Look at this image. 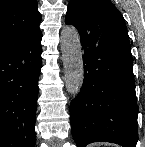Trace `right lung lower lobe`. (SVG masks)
I'll return each instance as SVG.
<instances>
[{
    "label": "right lung lower lobe",
    "mask_w": 145,
    "mask_h": 147,
    "mask_svg": "<svg viewBox=\"0 0 145 147\" xmlns=\"http://www.w3.org/2000/svg\"><path fill=\"white\" fill-rule=\"evenodd\" d=\"M42 33L0 49V147H34Z\"/></svg>",
    "instance_id": "98d812e1"
}]
</instances>
